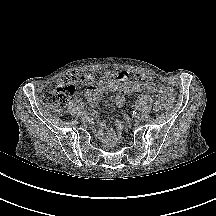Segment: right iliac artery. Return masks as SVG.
<instances>
[{"label":"right iliac artery","instance_id":"right-iliac-artery-1","mask_svg":"<svg viewBox=\"0 0 216 216\" xmlns=\"http://www.w3.org/2000/svg\"><path fill=\"white\" fill-rule=\"evenodd\" d=\"M89 112H91V110H90V109H88V110H85V111L83 112V114H88Z\"/></svg>","mask_w":216,"mask_h":216}]
</instances>
